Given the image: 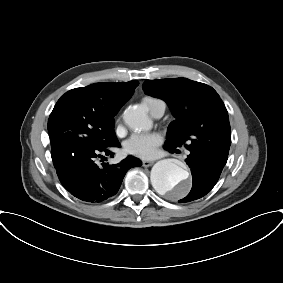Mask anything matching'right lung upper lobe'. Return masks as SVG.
<instances>
[{"label": "right lung upper lobe", "mask_w": 283, "mask_h": 283, "mask_svg": "<svg viewBox=\"0 0 283 283\" xmlns=\"http://www.w3.org/2000/svg\"><path fill=\"white\" fill-rule=\"evenodd\" d=\"M138 81L120 83H95L71 91L103 119H114L120 108L127 102Z\"/></svg>", "instance_id": "cb5924a9"}]
</instances>
